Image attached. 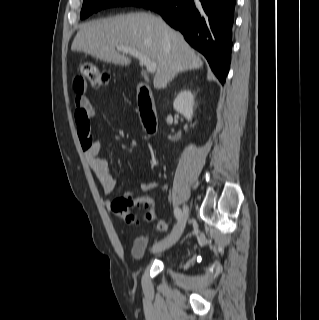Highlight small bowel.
I'll use <instances>...</instances> for the list:
<instances>
[{"mask_svg": "<svg viewBox=\"0 0 319 320\" xmlns=\"http://www.w3.org/2000/svg\"><path fill=\"white\" fill-rule=\"evenodd\" d=\"M75 120L77 123L78 134L80 142L83 148L84 156L87 162L93 169L105 195H110L114 192L115 181L112 175L108 171V163L106 159L99 157V151L102 146L101 139H92L90 143H87L84 136L79 131V126L83 115L89 120L95 117V110L90 103L89 99L85 95V86L78 88L75 85ZM159 186V183L155 180L140 182V189L143 192H149ZM143 200L140 207L144 208L147 212L153 213L154 204L150 198L141 197Z\"/></svg>", "mask_w": 319, "mask_h": 320, "instance_id": "1", "label": "small bowel"}]
</instances>
